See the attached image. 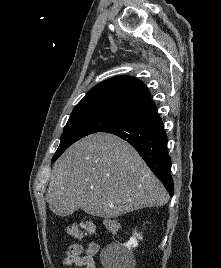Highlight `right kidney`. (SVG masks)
Instances as JSON below:
<instances>
[{"mask_svg":"<svg viewBox=\"0 0 221 268\" xmlns=\"http://www.w3.org/2000/svg\"><path fill=\"white\" fill-rule=\"evenodd\" d=\"M137 238L138 239H142V237H140V234H137L135 232L134 235L127 242V246L128 247H137L138 246V240H137Z\"/></svg>","mask_w":221,"mask_h":268,"instance_id":"right-kidney-1","label":"right kidney"}]
</instances>
